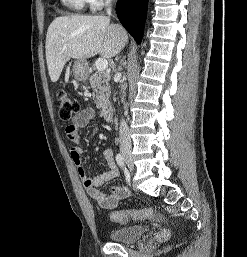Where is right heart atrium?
Wrapping results in <instances>:
<instances>
[{
  "mask_svg": "<svg viewBox=\"0 0 247 257\" xmlns=\"http://www.w3.org/2000/svg\"><path fill=\"white\" fill-rule=\"evenodd\" d=\"M91 10L99 9L107 0H84Z\"/></svg>",
  "mask_w": 247,
  "mask_h": 257,
  "instance_id": "1",
  "label": "right heart atrium"
}]
</instances>
